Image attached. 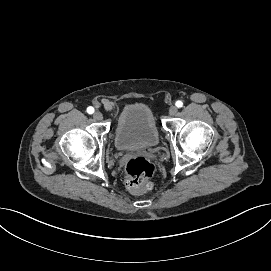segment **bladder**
Masks as SVG:
<instances>
[{
    "label": "bladder",
    "instance_id": "1",
    "mask_svg": "<svg viewBox=\"0 0 271 271\" xmlns=\"http://www.w3.org/2000/svg\"><path fill=\"white\" fill-rule=\"evenodd\" d=\"M118 150H138L153 147L159 132L151 109L142 103L125 107L113 132Z\"/></svg>",
    "mask_w": 271,
    "mask_h": 271
}]
</instances>
